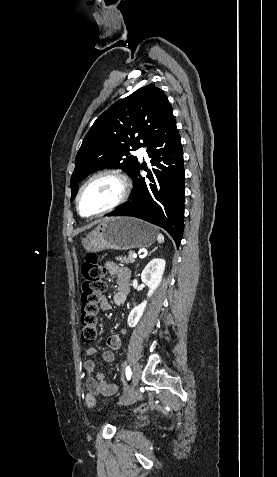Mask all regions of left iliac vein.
Returning <instances> with one entry per match:
<instances>
[{
  "mask_svg": "<svg viewBox=\"0 0 277 477\" xmlns=\"http://www.w3.org/2000/svg\"><path fill=\"white\" fill-rule=\"evenodd\" d=\"M141 377V366L139 363H136L133 368V373H132V387L129 390V392L125 395L124 398L121 399L120 403H125L126 401L129 400V398L133 395L136 386L139 383Z\"/></svg>",
  "mask_w": 277,
  "mask_h": 477,
  "instance_id": "4c4485c4",
  "label": "left iliac vein"
}]
</instances>
